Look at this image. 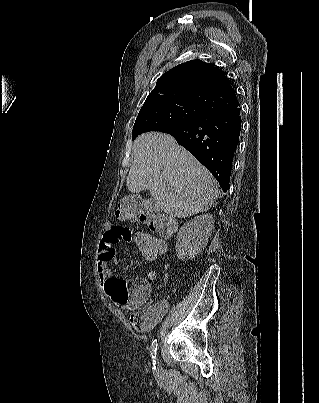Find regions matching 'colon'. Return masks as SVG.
<instances>
[{"mask_svg":"<svg viewBox=\"0 0 319 403\" xmlns=\"http://www.w3.org/2000/svg\"><path fill=\"white\" fill-rule=\"evenodd\" d=\"M117 211L124 217L146 223L150 228L136 229L134 237L130 238L134 249H138V258H163L168 248L164 238L175 231L174 221L161 214L160 208H151L150 201H143L142 192H128L127 197H121Z\"/></svg>","mask_w":319,"mask_h":403,"instance_id":"obj_1","label":"colon"}]
</instances>
